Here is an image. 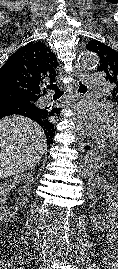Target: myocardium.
<instances>
[{
	"instance_id": "1",
	"label": "myocardium",
	"mask_w": 118,
	"mask_h": 269,
	"mask_svg": "<svg viewBox=\"0 0 118 269\" xmlns=\"http://www.w3.org/2000/svg\"><path fill=\"white\" fill-rule=\"evenodd\" d=\"M113 118L118 121V111L113 113ZM111 142L118 145V135H112Z\"/></svg>"
}]
</instances>
